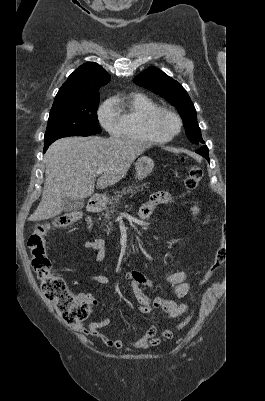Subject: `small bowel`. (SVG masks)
I'll list each match as a JSON object with an SVG mask.
<instances>
[{
    "label": "small bowel",
    "mask_w": 265,
    "mask_h": 401,
    "mask_svg": "<svg viewBox=\"0 0 265 401\" xmlns=\"http://www.w3.org/2000/svg\"><path fill=\"white\" fill-rule=\"evenodd\" d=\"M177 202L176 198L166 191H159L151 195L150 199L144 203L139 211V215L142 219H146L152 215L155 208L163 204H175ZM191 211L194 217L199 213V206L197 204L191 207ZM83 249H93L96 251V259L98 263H103L105 259V242L101 238H97L91 242H86L83 244ZM88 278L99 284H109L110 279L101 274H92ZM125 279L130 282L132 292L135 296L136 301L139 304L140 311L145 314L152 313L155 309L160 308L164 311L165 317L167 319H172L183 314L187 308V304H178L173 300L165 299L162 296H157L151 299L143 291V286L148 288H153L155 282L152 278L145 275L143 272L133 269L125 274ZM164 288L169 291L174 297L181 298L186 295L193 297V290L188 282V273L186 271H177L167 275L164 278ZM87 301H91V297L87 294L81 296ZM110 325V319L105 318L98 322H91L87 326H79L77 329L86 335H92L99 337L106 345L113 348H123L125 345L144 349L149 346H154L158 344L161 339H167L164 336V331L157 336V329L152 326L146 333L135 340H122V339H110L107 336L100 333V330L106 328Z\"/></svg>",
    "instance_id": "obj_1"
}]
</instances>
